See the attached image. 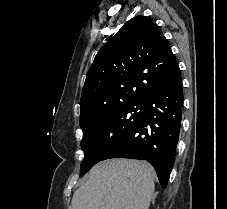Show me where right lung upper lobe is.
<instances>
[{
	"label": "right lung upper lobe",
	"mask_w": 227,
	"mask_h": 209,
	"mask_svg": "<svg viewBox=\"0 0 227 209\" xmlns=\"http://www.w3.org/2000/svg\"><path fill=\"white\" fill-rule=\"evenodd\" d=\"M170 44L149 17L126 22L97 53L83 87L80 120L105 110L107 98L144 101L169 79L159 66L176 65Z\"/></svg>",
	"instance_id": "cb5924a9"
}]
</instances>
